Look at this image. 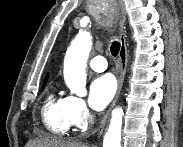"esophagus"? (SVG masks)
<instances>
[{"label":"esophagus","mask_w":183,"mask_h":147,"mask_svg":"<svg viewBox=\"0 0 183 147\" xmlns=\"http://www.w3.org/2000/svg\"><path fill=\"white\" fill-rule=\"evenodd\" d=\"M121 14H122V16H121L122 18H121V22H120V36H119L121 47H120V51H119V55H118L119 56L118 87H117V92H116L115 98L111 104V107L109 108V110L107 111L105 116L103 117V119L98 127L97 134L99 137L103 134L110 111L117 102V99L119 97V94L121 92L122 85L124 82L125 74H126V68H127V62H128L126 34H125L126 13H125V8H124V5L122 2H121Z\"/></svg>","instance_id":"34e87169"}]
</instances>
